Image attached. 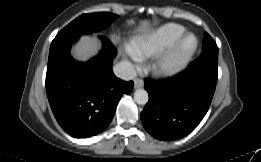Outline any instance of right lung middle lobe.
Returning <instances> with one entry per match:
<instances>
[{
    "instance_id": "1",
    "label": "right lung middle lobe",
    "mask_w": 261,
    "mask_h": 162,
    "mask_svg": "<svg viewBox=\"0 0 261 162\" xmlns=\"http://www.w3.org/2000/svg\"><path fill=\"white\" fill-rule=\"evenodd\" d=\"M118 15L113 13H90L76 18L69 25L63 28L56 37H66L91 33L104 29L113 22Z\"/></svg>"
}]
</instances>
